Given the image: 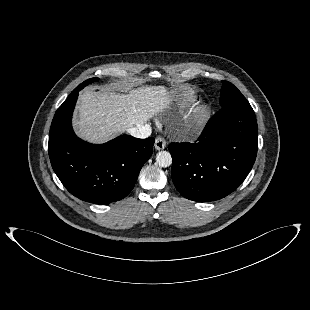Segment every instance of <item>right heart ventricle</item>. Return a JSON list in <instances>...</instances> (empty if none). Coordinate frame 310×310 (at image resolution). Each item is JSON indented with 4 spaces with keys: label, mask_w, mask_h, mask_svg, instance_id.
<instances>
[{
    "label": "right heart ventricle",
    "mask_w": 310,
    "mask_h": 310,
    "mask_svg": "<svg viewBox=\"0 0 310 310\" xmlns=\"http://www.w3.org/2000/svg\"><path fill=\"white\" fill-rule=\"evenodd\" d=\"M195 101V97L194 96H186L181 100V106L185 107L188 106L190 104H192Z\"/></svg>",
    "instance_id": "obj_1"
}]
</instances>
